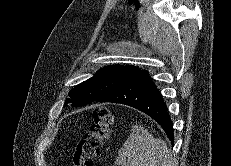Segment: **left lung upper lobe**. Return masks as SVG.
Wrapping results in <instances>:
<instances>
[{"label": "left lung upper lobe", "instance_id": "left-lung-upper-lobe-1", "mask_svg": "<svg viewBox=\"0 0 231 166\" xmlns=\"http://www.w3.org/2000/svg\"><path fill=\"white\" fill-rule=\"evenodd\" d=\"M140 71L141 69L132 65H111L101 68L93 77L75 86L69 92L67 101L75 107L92 103L133 78Z\"/></svg>", "mask_w": 231, "mask_h": 166}]
</instances>
